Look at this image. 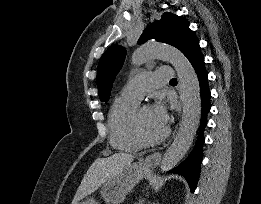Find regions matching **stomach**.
<instances>
[{"label":"stomach","mask_w":261,"mask_h":204,"mask_svg":"<svg viewBox=\"0 0 261 204\" xmlns=\"http://www.w3.org/2000/svg\"><path fill=\"white\" fill-rule=\"evenodd\" d=\"M146 168L141 162L133 163L107 180L101 187L100 193L107 204H120L134 186L143 179ZM77 204H99L93 197Z\"/></svg>","instance_id":"stomach-1"}]
</instances>
